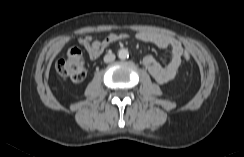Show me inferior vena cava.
Here are the masks:
<instances>
[{
	"label": "inferior vena cava",
	"mask_w": 244,
	"mask_h": 157,
	"mask_svg": "<svg viewBox=\"0 0 244 157\" xmlns=\"http://www.w3.org/2000/svg\"><path fill=\"white\" fill-rule=\"evenodd\" d=\"M115 60V55L110 53V54H106L104 56V62L105 63H110V62H113Z\"/></svg>",
	"instance_id": "obj_1"
}]
</instances>
